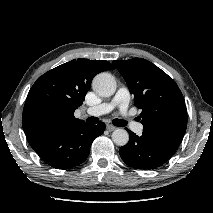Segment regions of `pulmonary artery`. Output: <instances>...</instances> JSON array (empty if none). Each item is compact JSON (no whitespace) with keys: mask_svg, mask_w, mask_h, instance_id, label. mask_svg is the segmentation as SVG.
<instances>
[{"mask_svg":"<svg viewBox=\"0 0 213 213\" xmlns=\"http://www.w3.org/2000/svg\"><path fill=\"white\" fill-rule=\"evenodd\" d=\"M130 101V93L126 87H121L118 89L117 93L110 102H104L100 105L90 107L87 109V114L91 116H100L111 112L113 109L118 108L120 113L127 117V110ZM131 129L140 134L143 131V125L140 123L133 122L131 120H126Z\"/></svg>","mask_w":213,"mask_h":213,"instance_id":"e3ab8cb5","label":"pulmonary artery"}]
</instances>
